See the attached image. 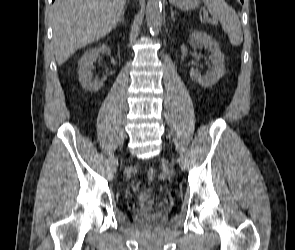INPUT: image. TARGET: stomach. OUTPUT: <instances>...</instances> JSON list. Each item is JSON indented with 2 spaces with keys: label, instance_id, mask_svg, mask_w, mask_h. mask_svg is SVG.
Instances as JSON below:
<instances>
[{
  "label": "stomach",
  "instance_id": "1",
  "mask_svg": "<svg viewBox=\"0 0 295 250\" xmlns=\"http://www.w3.org/2000/svg\"><path fill=\"white\" fill-rule=\"evenodd\" d=\"M169 2L181 10H191L198 6L199 0H169Z\"/></svg>",
  "mask_w": 295,
  "mask_h": 250
}]
</instances>
